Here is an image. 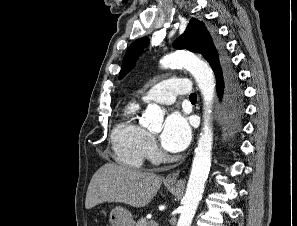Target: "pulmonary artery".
Listing matches in <instances>:
<instances>
[{"label":"pulmonary artery","mask_w":297,"mask_h":226,"mask_svg":"<svg viewBox=\"0 0 297 226\" xmlns=\"http://www.w3.org/2000/svg\"><path fill=\"white\" fill-rule=\"evenodd\" d=\"M191 86L187 79L171 78L150 87L142 99L144 102L172 104L177 95H190Z\"/></svg>","instance_id":"obj_1"}]
</instances>
